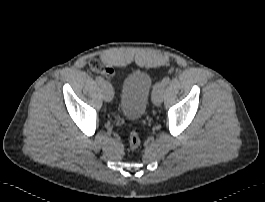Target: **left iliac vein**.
<instances>
[{
	"instance_id": "4c4485c4",
	"label": "left iliac vein",
	"mask_w": 265,
	"mask_h": 202,
	"mask_svg": "<svg viewBox=\"0 0 265 202\" xmlns=\"http://www.w3.org/2000/svg\"><path fill=\"white\" fill-rule=\"evenodd\" d=\"M165 86L160 85L159 89L152 94L153 103L159 106L162 103Z\"/></svg>"
}]
</instances>
